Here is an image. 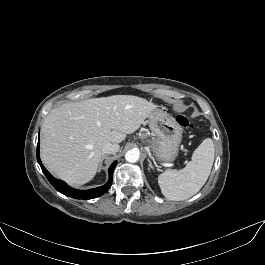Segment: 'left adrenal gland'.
<instances>
[{
	"mask_svg": "<svg viewBox=\"0 0 265 265\" xmlns=\"http://www.w3.org/2000/svg\"><path fill=\"white\" fill-rule=\"evenodd\" d=\"M147 161L149 162V168L154 169V167H153V165H152V163H151L149 158L147 159ZM149 168H148V170H149Z\"/></svg>",
	"mask_w": 265,
	"mask_h": 265,
	"instance_id": "a2214340",
	"label": "left adrenal gland"
}]
</instances>
